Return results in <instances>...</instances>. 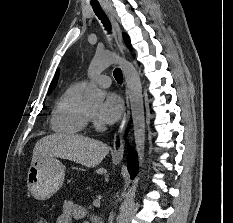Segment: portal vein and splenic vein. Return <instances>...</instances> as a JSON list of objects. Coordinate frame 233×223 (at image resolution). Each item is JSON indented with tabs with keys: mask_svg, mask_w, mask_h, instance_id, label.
<instances>
[{
	"mask_svg": "<svg viewBox=\"0 0 233 223\" xmlns=\"http://www.w3.org/2000/svg\"><path fill=\"white\" fill-rule=\"evenodd\" d=\"M93 206H100V201H93Z\"/></svg>",
	"mask_w": 233,
	"mask_h": 223,
	"instance_id": "1",
	"label": "portal vein and splenic vein"
}]
</instances>
